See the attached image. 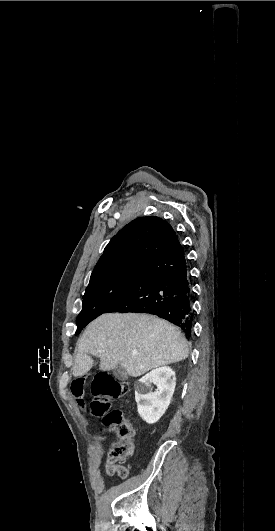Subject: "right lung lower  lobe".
I'll list each match as a JSON object with an SVG mask.
<instances>
[{
	"instance_id": "98d812e1",
	"label": "right lung lower lobe",
	"mask_w": 275,
	"mask_h": 531,
	"mask_svg": "<svg viewBox=\"0 0 275 531\" xmlns=\"http://www.w3.org/2000/svg\"><path fill=\"white\" fill-rule=\"evenodd\" d=\"M190 276L177 235L151 262L138 280L105 313H149L164 318L190 337L193 325Z\"/></svg>"
}]
</instances>
